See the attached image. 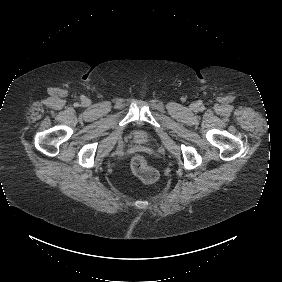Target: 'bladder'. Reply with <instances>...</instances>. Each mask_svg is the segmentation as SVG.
<instances>
[{
    "label": "bladder",
    "instance_id": "obj_1",
    "mask_svg": "<svg viewBox=\"0 0 282 282\" xmlns=\"http://www.w3.org/2000/svg\"><path fill=\"white\" fill-rule=\"evenodd\" d=\"M136 137L139 142H146L148 140V135L145 132L138 133Z\"/></svg>",
    "mask_w": 282,
    "mask_h": 282
}]
</instances>
